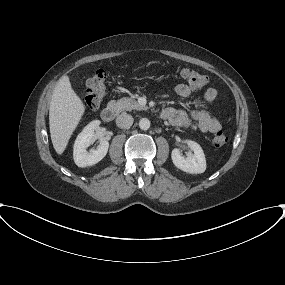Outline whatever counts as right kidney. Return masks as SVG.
<instances>
[{
    "label": "right kidney",
    "mask_w": 285,
    "mask_h": 285,
    "mask_svg": "<svg viewBox=\"0 0 285 285\" xmlns=\"http://www.w3.org/2000/svg\"><path fill=\"white\" fill-rule=\"evenodd\" d=\"M99 125L100 121L94 120L77 136L74 143L73 158L78 167L95 165L106 156L109 148V142L107 140H101L99 146L95 150L87 151V148L94 139L95 129Z\"/></svg>",
    "instance_id": "obj_1"
}]
</instances>
